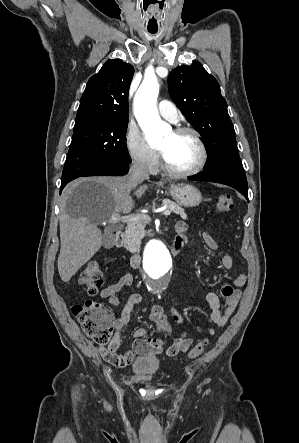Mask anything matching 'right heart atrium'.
I'll list each match as a JSON object with an SVG mask.
<instances>
[{
    "label": "right heart atrium",
    "instance_id": "obj_1",
    "mask_svg": "<svg viewBox=\"0 0 299 443\" xmlns=\"http://www.w3.org/2000/svg\"><path fill=\"white\" fill-rule=\"evenodd\" d=\"M124 143L132 162L141 169L151 172L158 164V156L145 141L140 129L129 124L124 135Z\"/></svg>",
    "mask_w": 299,
    "mask_h": 443
}]
</instances>
